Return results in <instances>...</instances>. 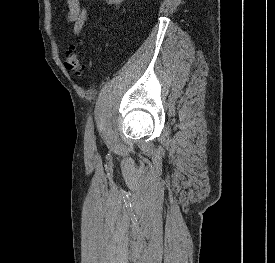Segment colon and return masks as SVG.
<instances>
[{
  "instance_id": "colon-1",
  "label": "colon",
  "mask_w": 275,
  "mask_h": 263,
  "mask_svg": "<svg viewBox=\"0 0 275 263\" xmlns=\"http://www.w3.org/2000/svg\"><path fill=\"white\" fill-rule=\"evenodd\" d=\"M64 65L68 71L76 76H81L84 72L85 64L83 56L75 45L70 46Z\"/></svg>"
}]
</instances>
